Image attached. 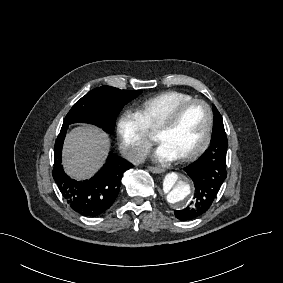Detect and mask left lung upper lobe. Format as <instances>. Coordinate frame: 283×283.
Listing matches in <instances>:
<instances>
[{"label": "left lung upper lobe", "mask_w": 283, "mask_h": 283, "mask_svg": "<svg viewBox=\"0 0 283 283\" xmlns=\"http://www.w3.org/2000/svg\"><path fill=\"white\" fill-rule=\"evenodd\" d=\"M213 113H214V118L222 119L221 114L214 105H213Z\"/></svg>", "instance_id": "obj_1"}]
</instances>
